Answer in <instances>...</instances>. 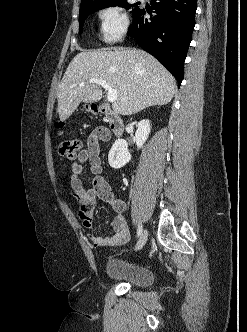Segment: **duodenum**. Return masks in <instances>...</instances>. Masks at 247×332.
Returning a JSON list of instances; mask_svg holds the SVG:
<instances>
[{"mask_svg": "<svg viewBox=\"0 0 247 332\" xmlns=\"http://www.w3.org/2000/svg\"><path fill=\"white\" fill-rule=\"evenodd\" d=\"M99 110L106 118L112 134L120 137L124 132V123L120 116L106 105H100Z\"/></svg>", "mask_w": 247, "mask_h": 332, "instance_id": "duodenum-1", "label": "duodenum"}]
</instances>
